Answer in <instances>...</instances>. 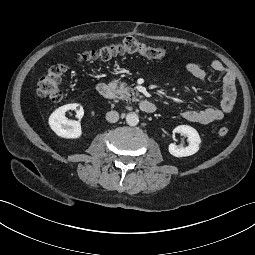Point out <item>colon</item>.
Wrapping results in <instances>:
<instances>
[{"mask_svg":"<svg viewBox=\"0 0 255 255\" xmlns=\"http://www.w3.org/2000/svg\"><path fill=\"white\" fill-rule=\"evenodd\" d=\"M124 53H138L149 59H162L166 55V48L164 46H151L135 38L127 37L116 44H107L95 50L84 52L77 59L80 62L107 60ZM66 71L67 66L65 64H57L43 74L36 86L38 96L54 102L60 101L63 96L61 82ZM228 132L229 129L226 126L218 129L220 136H225Z\"/></svg>","mask_w":255,"mask_h":255,"instance_id":"obj_1","label":"colon"}]
</instances>
